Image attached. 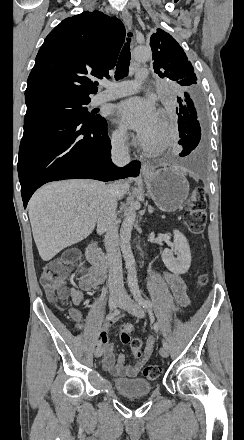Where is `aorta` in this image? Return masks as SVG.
Masks as SVG:
<instances>
[{
	"mask_svg": "<svg viewBox=\"0 0 244 440\" xmlns=\"http://www.w3.org/2000/svg\"><path fill=\"white\" fill-rule=\"evenodd\" d=\"M151 50L146 47H136L133 56L137 61H147L151 57ZM138 202L132 201L127 215L121 225L120 229V247L123 253L125 266L127 269V281L129 286L137 284V272L135 267V259L131 250V232L136 220V208Z\"/></svg>",
	"mask_w": 244,
	"mask_h": 440,
	"instance_id": "1",
	"label": "aorta"
}]
</instances>
